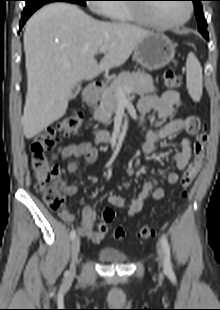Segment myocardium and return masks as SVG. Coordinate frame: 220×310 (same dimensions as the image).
<instances>
[{"label": "myocardium", "mask_w": 220, "mask_h": 310, "mask_svg": "<svg viewBox=\"0 0 220 310\" xmlns=\"http://www.w3.org/2000/svg\"><path fill=\"white\" fill-rule=\"evenodd\" d=\"M185 5L187 9V13L185 17L173 23L165 22V21L158 19L150 12V10L142 9L136 6L132 7V10L138 18L146 20L150 25L154 27L161 28V29H174V28L183 26L185 23H187L190 20L192 16V12H193L192 5L190 3H185ZM147 14H148V18L145 17V15Z\"/></svg>", "instance_id": "obj_1"}]
</instances>
